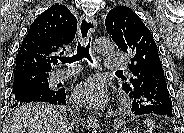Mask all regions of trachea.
Segmentation results:
<instances>
[{"label":"trachea","mask_w":184,"mask_h":133,"mask_svg":"<svg viewBox=\"0 0 184 133\" xmlns=\"http://www.w3.org/2000/svg\"><path fill=\"white\" fill-rule=\"evenodd\" d=\"M89 49H90V41L87 44L78 42L76 55H73L72 57H61L59 58V60L65 64L66 63L72 64L74 62L81 61L83 58H86L91 63H93V60L89 53Z\"/></svg>","instance_id":"3493384b"}]
</instances>
